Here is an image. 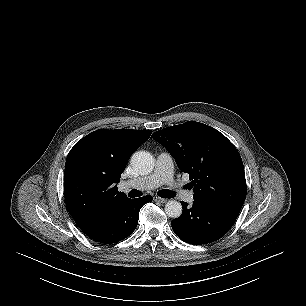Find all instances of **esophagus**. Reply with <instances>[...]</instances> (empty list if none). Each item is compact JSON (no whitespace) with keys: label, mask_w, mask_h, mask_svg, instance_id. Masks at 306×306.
I'll return each instance as SVG.
<instances>
[{"label":"esophagus","mask_w":306,"mask_h":306,"mask_svg":"<svg viewBox=\"0 0 306 306\" xmlns=\"http://www.w3.org/2000/svg\"><path fill=\"white\" fill-rule=\"evenodd\" d=\"M153 200H154L155 202H159V203H166V202H167V199L161 198V197H158V196H154V197H153Z\"/></svg>","instance_id":"1"}]
</instances>
